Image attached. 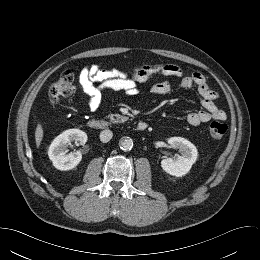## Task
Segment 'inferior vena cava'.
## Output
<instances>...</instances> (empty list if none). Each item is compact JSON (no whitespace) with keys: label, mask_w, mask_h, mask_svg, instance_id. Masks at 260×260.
<instances>
[{"label":"inferior vena cava","mask_w":260,"mask_h":260,"mask_svg":"<svg viewBox=\"0 0 260 260\" xmlns=\"http://www.w3.org/2000/svg\"><path fill=\"white\" fill-rule=\"evenodd\" d=\"M112 136H113L112 131L109 130V129H106V130L101 131V133H100V140L103 143H107L108 141L111 140Z\"/></svg>","instance_id":"obj_1"}]
</instances>
